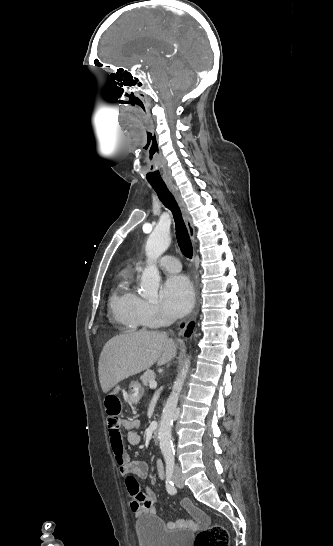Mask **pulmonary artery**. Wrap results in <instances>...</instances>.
<instances>
[{"label": "pulmonary artery", "mask_w": 333, "mask_h": 546, "mask_svg": "<svg viewBox=\"0 0 333 546\" xmlns=\"http://www.w3.org/2000/svg\"><path fill=\"white\" fill-rule=\"evenodd\" d=\"M145 263L141 262L137 265L138 269H142L144 267ZM157 265L164 271H168L171 273H176L181 270V265L179 260L176 257L173 256H163L161 259L157 261Z\"/></svg>", "instance_id": "obj_1"}]
</instances>
